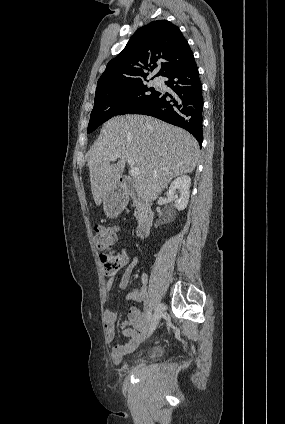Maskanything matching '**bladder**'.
Listing matches in <instances>:
<instances>
[{
  "label": "bladder",
  "instance_id": "obj_1",
  "mask_svg": "<svg viewBox=\"0 0 285 424\" xmlns=\"http://www.w3.org/2000/svg\"><path fill=\"white\" fill-rule=\"evenodd\" d=\"M147 354L150 356H160L162 354V348L160 346H153L147 349Z\"/></svg>",
  "mask_w": 285,
  "mask_h": 424
}]
</instances>
